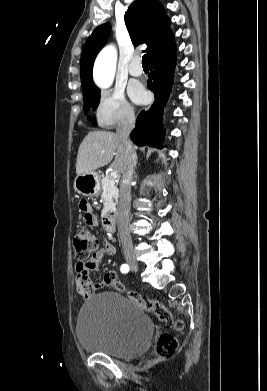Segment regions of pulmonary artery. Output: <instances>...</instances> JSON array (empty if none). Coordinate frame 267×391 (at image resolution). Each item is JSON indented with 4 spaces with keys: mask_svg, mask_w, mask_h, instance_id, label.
Here are the masks:
<instances>
[{
    "mask_svg": "<svg viewBox=\"0 0 267 391\" xmlns=\"http://www.w3.org/2000/svg\"><path fill=\"white\" fill-rule=\"evenodd\" d=\"M140 62H141V58L139 56H135L130 65H129V73L132 75V76H135V77H138L140 75H142L143 73V69L140 65Z\"/></svg>",
    "mask_w": 267,
    "mask_h": 391,
    "instance_id": "pulmonary-artery-1",
    "label": "pulmonary artery"
}]
</instances>
